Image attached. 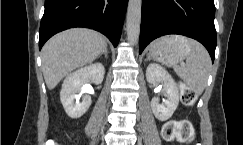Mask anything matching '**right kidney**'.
Masks as SVG:
<instances>
[{
    "label": "right kidney",
    "mask_w": 243,
    "mask_h": 145,
    "mask_svg": "<svg viewBox=\"0 0 243 145\" xmlns=\"http://www.w3.org/2000/svg\"><path fill=\"white\" fill-rule=\"evenodd\" d=\"M104 73V66L101 63H94L70 73L64 79L60 100L68 116L79 118L88 110L92 103L91 96L85 95L80 102L78 93L85 89L87 81L102 83Z\"/></svg>",
    "instance_id": "obj_1"
}]
</instances>
